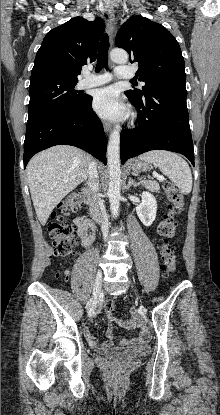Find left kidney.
<instances>
[{
    "instance_id": "5707ae66",
    "label": "left kidney",
    "mask_w": 220,
    "mask_h": 415,
    "mask_svg": "<svg viewBox=\"0 0 220 415\" xmlns=\"http://www.w3.org/2000/svg\"><path fill=\"white\" fill-rule=\"evenodd\" d=\"M157 201L149 192L142 193V201L136 207L137 215L145 226H150L156 218Z\"/></svg>"
}]
</instances>
